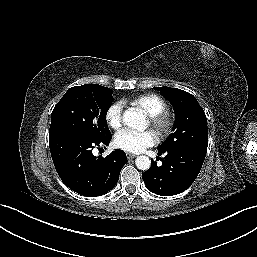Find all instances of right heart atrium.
Returning <instances> with one entry per match:
<instances>
[{
    "label": "right heart atrium",
    "instance_id": "d8ad5b80",
    "mask_svg": "<svg viewBox=\"0 0 257 257\" xmlns=\"http://www.w3.org/2000/svg\"><path fill=\"white\" fill-rule=\"evenodd\" d=\"M105 119L109 127L117 130L123 122V104L121 102L112 103L106 110Z\"/></svg>",
    "mask_w": 257,
    "mask_h": 257
}]
</instances>
